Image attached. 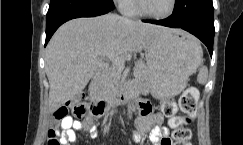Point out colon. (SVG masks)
<instances>
[{
  "instance_id": "1",
  "label": "colon",
  "mask_w": 243,
  "mask_h": 145,
  "mask_svg": "<svg viewBox=\"0 0 243 145\" xmlns=\"http://www.w3.org/2000/svg\"><path fill=\"white\" fill-rule=\"evenodd\" d=\"M198 97L199 93L196 88H187L179 99V108L183 113V115L179 116L176 115L178 108L172 99H166L162 102V113L170 118L169 124L174 129L173 145H190L191 131L187 126L195 117ZM70 112L76 117H82L86 112V107L78 99H72L54 112V119L56 121H62L69 116ZM88 127L89 125H85V128ZM47 145H61L55 128H51L48 132Z\"/></svg>"
}]
</instances>
